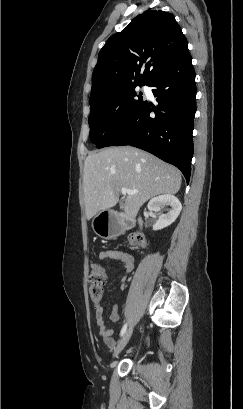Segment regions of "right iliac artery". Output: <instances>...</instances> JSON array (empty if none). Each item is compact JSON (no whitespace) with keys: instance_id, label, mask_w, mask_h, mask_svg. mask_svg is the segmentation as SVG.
Returning a JSON list of instances; mask_svg holds the SVG:
<instances>
[{"instance_id":"82829eb1","label":"right iliac artery","mask_w":243,"mask_h":409,"mask_svg":"<svg viewBox=\"0 0 243 409\" xmlns=\"http://www.w3.org/2000/svg\"><path fill=\"white\" fill-rule=\"evenodd\" d=\"M126 330H127V323H125L124 326L122 327L121 332H120V336H123L125 334Z\"/></svg>"}]
</instances>
